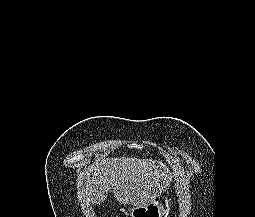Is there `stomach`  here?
Listing matches in <instances>:
<instances>
[{"instance_id": "obj_1", "label": "stomach", "mask_w": 255, "mask_h": 217, "mask_svg": "<svg viewBox=\"0 0 255 217\" xmlns=\"http://www.w3.org/2000/svg\"><path fill=\"white\" fill-rule=\"evenodd\" d=\"M130 217H166L167 210L161 201H154L145 206L133 207L129 210Z\"/></svg>"}]
</instances>
